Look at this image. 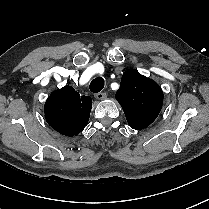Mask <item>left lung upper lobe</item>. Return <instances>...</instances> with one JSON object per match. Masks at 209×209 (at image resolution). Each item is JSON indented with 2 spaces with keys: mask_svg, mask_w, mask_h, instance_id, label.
<instances>
[{
  "mask_svg": "<svg viewBox=\"0 0 209 209\" xmlns=\"http://www.w3.org/2000/svg\"><path fill=\"white\" fill-rule=\"evenodd\" d=\"M115 97L129 126L136 130L149 126L157 118L163 103L160 86L135 71L123 74Z\"/></svg>",
  "mask_w": 209,
  "mask_h": 209,
  "instance_id": "5c2ea615",
  "label": "left lung upper lobe"
}]
</instances>
